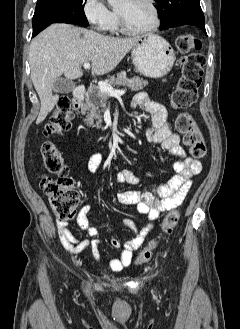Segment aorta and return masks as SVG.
I'll return each instance as SVG.
<instances>
[{
  "mask_svg": "<svg viewBox=\"0 0 240 329\" xmlns=\"http://www.w3.org/2000/svg\"><path fill=\"white\" fill-rule=\"evenodd\" d=\"M110 5H118L121 3L123 0H107Z\"/></svg>",
  "mask_w": 240,
  "mask_h": 329,
  "instance_id": "1",
  "label": "aorta"
}]
</instances>
